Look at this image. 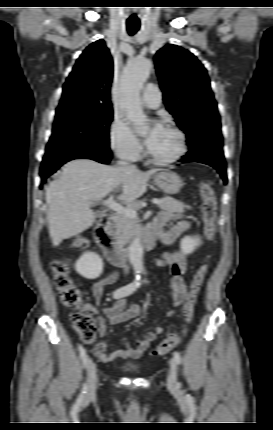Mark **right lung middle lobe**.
<instances>
[{"label":"right lung middle lobe","instance_id":"right-lung-middle-lobe-1","mask_svg":"<svg viewBox=\"0 0 273 430\" xmlns=\"http://www.w3.org/2000/svg\"><path fill=\"white\" fill-rule=\"evenodd\" d=\"M111 109L66 107L56 111L53 133L43 158L48 163L83 151L109 152Z\"/></svg>","mask_w":273,"mask_h":430}]
</instances>
